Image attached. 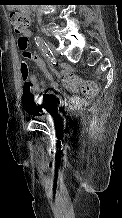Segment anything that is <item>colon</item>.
<instances>
[{
    "label": "colon",
    "instance_id": "1",
    "mask_svg": "<svg viewBox=\"0 0 122 218\" xmlns=\"http://www.w3.org/2000/svg\"><path fill=\"white\" fill-rule=\"evenodd\" d=\"M10 19L14 26V29L18 33L25 32L30 26L29 16L21 12L12 11L10 13ZM18 46L22 50V58L24 60L21 66V77H22V83H23L24 102H25L26 109L29 112H33L36 107V101H35L34 94H33V83L31 81L29 68L25 62L26 60L30 59L31 54L25 50L24 43L22 40L18 41ZM64 82L66 83L69 90L73 92H82L83 94L87 96L94 95L97 90L96 86L92 82L83 81L80 78H77L73 75L65 78Z\"/></svg>",
    "mask_w": 122,
    "mask_h": 218
}]
</instances>
